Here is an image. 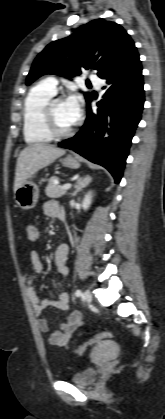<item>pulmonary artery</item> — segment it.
Instances as JSON below:
<instances>
[{
  "instance_id": "pulmonary-artery-1",
  "label": "pulmonary artery",
  "mask_w": 165,
  "mask_h": 419,
  "mask_svg": "<svg viewBox=\"0 0 165 419\" xmlns=\"http://www.w3.org/2000/svg\"><path fill=\"white\" fill-rule=\"evenodd\" d=\"M88 79L90 80V82L97 88H100L101 84H102V80L96 76L95 74H90L88 76ZM43 84L50 89L52 92H56L57 90V80L54 77H48L47 79H45L43 81Z\"/></svg>"
}]
</instances>
